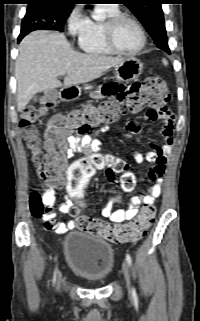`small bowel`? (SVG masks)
I'll list each match as a JSON object with an SVG mask.
<instances>
[{
	"mask_svg": "<svg viewBox=\"0 0 200 321\" xmlns=\"http://www.w3.org/2000/svg\"><path fill=\"white\" fill-rule=\"evenodd\" d=\"M142 83L122 82V80H115V82L102 83L99 94L100 97H109L106 103L114 101V97L120 100L121 96L126 98H133L137 90H142ZM145 119L148 121L160 120L163 122L162 136L164 138L163 145L151 144V151L146 155L140 153L134 154V159L138 164L147 161L153 163L152 168L149 170V180L147 182V192L144 195L133 194L129 198L127 209L113 210L110 204L102 209V215L109 219L112 223L119 224L124 221L132 220L138 213V208L141 205H153L156 198L161 193V183L166 171L167 156L172 148V134H173V117L172 114L166 109H149L145 114ZM130 134H135L139 131V126L134 123L126 125ZM109 131L108 127L102 130V134ZM67 157H70L75 152H82L85 154H95L101 149V140L99 138H92L89 135H70L67 137ZM107 159H114L111 155H105ZM116 171L113 167L108 166L106 169L107 178L116 182ZM65 185L64 180H59L53 183L42 195L43 203L50 208V212L43 216L44 227L48 231H53L57 234H64L77 227L76 221H69L67 223L57 222L56 215L52 208L57 199V191ZM75 209L74 198H65L59 205L60 213H69Z\"/></svg>",
	"mask_w": 200,
	"mask_h": 321,
	"instance_id": "small-bowel-1",
	"label": "small bowel"
}]
</instances>
